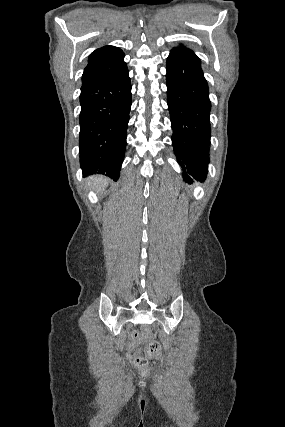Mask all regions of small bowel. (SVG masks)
<instances>
[{"instance_id": "c3829d8e", "label": "small bowel", "mask_w": 285, "mask_h": 427, "mask_svg": "<svg viewBox=\"0 0 285 427\" xmlns=\"http://www.w3.org/2000/svg\"><path fill=\"white\" fill-rule=\"evenodd\" d=\"M135 344H136V340L134 339V338H132L130 341H129V344H128V349L129 350H131L134 346H135ZM127 358L128 359H131V355H127Z\"/></svg>"}]
</instances>
